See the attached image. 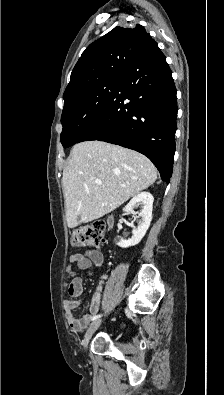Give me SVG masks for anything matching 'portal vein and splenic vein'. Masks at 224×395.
Segmentation results:
<instances>
[{
  "instance_id": "obj_1",
  "label": "portal vein and splenic vein",
  "mask_w": 224,
  "mask_h": 395,
  "mask_svg": "<svg viewBox=\"0 0 224 395\" xmlns=\"http://www.w3.org/2000/svg\"><path fill=\"white\" fill-rule=\"evenodd\" d=\"M95 183H96L97 185H101V184H102V182H101L100 180H96Z\"/></svg>"
}]
</instances>
